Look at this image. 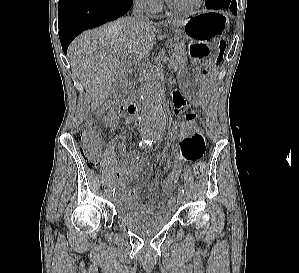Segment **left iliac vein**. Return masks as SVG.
Wrapping results in <instances>:
<instances>
[{
	"instance_id": "obj_1",
	"label": "left iliac vein",
	"mask_w": 299,
	"mask_h": 273,
	"mask_svg": "<svg viewBox=\"0 0 299 273\" xmlns=\"http://www.w3.org/2000/svg\"><path fill=\"white\" fill-rule=\"evenodd\" d=\"M184 200H185L184 195L181 194V193H178V196H177V203H178V204H182V203H184Z\"/></svg>"
}]
</instances>
